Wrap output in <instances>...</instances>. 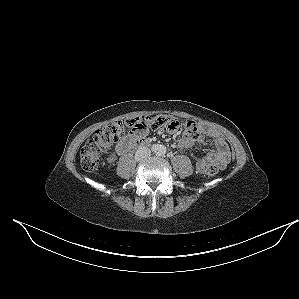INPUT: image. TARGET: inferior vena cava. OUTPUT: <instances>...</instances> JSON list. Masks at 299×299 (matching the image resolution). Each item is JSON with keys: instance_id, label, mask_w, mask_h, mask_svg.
I'll return each instance as SVG.
<instances>
[{"instance_id": "1", "label": "inferior vena cava", "mask_w": 299, "mask_h": 299, "mask_svg": "<svg viewBox=\"0 0 299 299\" xmlns=\"http://www.w3.org/2000/svg\"><path fill=\"white\" fill-rule=\"evenodd\" d=\"M150 155H151L150 149H148L146 147H141L136 151L135 159L137 161H142V160L147 159Z\"/></svg>"}]
</instances>
